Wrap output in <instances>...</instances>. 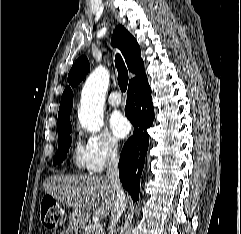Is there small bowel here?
Instances as JSON below:
<instances>
[{
    "mask_svg": "<svg viewBox=\"0 0 241 234\" xmlns=\"http://www.w3.org/2000/svg\"><path fill=\"white\" fill-rule=\"evenodd\" d=\"M61 234H66V232H62Z\"/></svg>",
    "mask_w": 241,
    "mask_h": 234,
    "instance_id": "1",
    "label": "small bowel"
}]
</instances>
